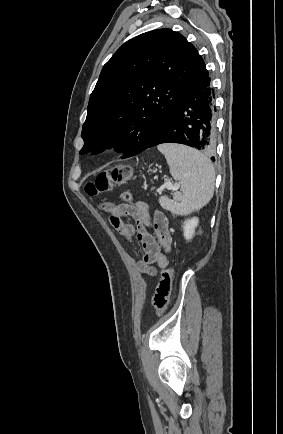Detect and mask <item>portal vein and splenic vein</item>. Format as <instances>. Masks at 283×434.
<instances>
[{
	"label": "portal vein and splenic vein",
	"mask_w": 283,
	"mask_h": 434,
	"mask_svg": "<svg viewBox=\"0 0 283 434\" xmlns=\"http://www.w3.org/2000/svg\"><path fill=\"white\" fill-rule=\"evenodd\" d=\"M164 187H166L167 189H173V185L170 182H165Z\"/></svg>",
	"instance_id": "portal-vein-and-splenic-vein-1"
}]
</instances>
